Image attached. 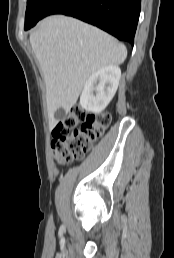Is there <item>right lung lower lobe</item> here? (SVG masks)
I'll list each match as a JSON object with an SVG mask.
<instances>
[{"label": "right lung lower lobe", "mask_w": 174, "mask_h": 258, "mask_svg": "<svg viewBox=\"0 0 174 258\" xmlns=\"http://www.w3.org/2000/svg\"><path fill=\"white\" fill-rule=\"evenodd\" d=\"M140 9L141 0H55L43 15L72 16L133 45Z\"/></svg>", "instance_id": "obj_1"}]
</instances>
